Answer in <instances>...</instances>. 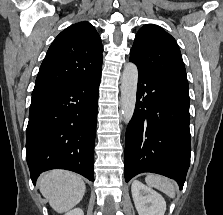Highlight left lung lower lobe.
Wrapping results in <instances>:
<instances>
[{
  "label": "left lung lower lobe",
  "mask_w": 223,
  "mask_h": 215,
  "mask_svg": "<svg viewBox=\"0 0 223 215\" xmlns=\"http://www.w3.org/2000/svg\"><path fill=\"white\" fill-rule=\"evenodd\" d=\"M189 94L139 74L136 106L126 130L125 181L152 172L183 188L190 164Z\"/></svg>",
  "instance_id": "0a47b994"
}]
</instances>
